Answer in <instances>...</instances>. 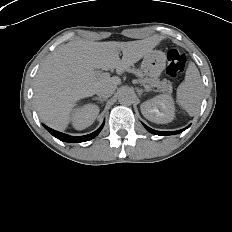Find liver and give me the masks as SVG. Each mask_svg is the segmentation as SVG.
<instances>
[{"instance_id": "obj_1", "label": "liver", "mask_w": 232, "mask_h": 232, "mask_svg": "<svg viewBox=\"0 0 232 232\" xmlns=\"http://www.w3.org/2000/svg\"><path fill=\"white\" fill-rule=\"evenodd\" d=\"M158 42L152 37L130 42L76 38L63 45L43 62L35 78L34 98L40 120L54 130H65L78 100L96 94L103 81L119 82L118 78L97 76L95 69L123 71Z\"/></svg>"}]
</instances>
